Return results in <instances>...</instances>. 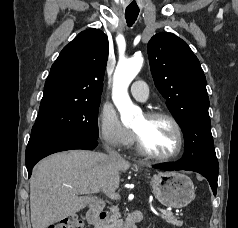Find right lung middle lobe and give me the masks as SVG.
I'll list each match as a JSON object with an SVG mask.
<instances>
[{
  "label": "right lung middle lobe",
  "instance_id": "obj_1",
  "mask_svg": "<svg viewBox=\"0 0 238 228\" xmlns=\"http://www.w3.org/2000/svg\"><path fill=\"white\" fill-rule=\"evenodd\" d=\"M99 105L79 103L37 116L32 133H76L97 139Z\"/></svg>",
  "mask_w": 238,
  "mask_h": 228
}]
</instances>
